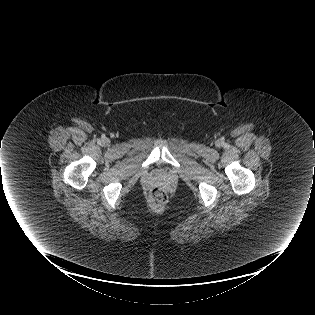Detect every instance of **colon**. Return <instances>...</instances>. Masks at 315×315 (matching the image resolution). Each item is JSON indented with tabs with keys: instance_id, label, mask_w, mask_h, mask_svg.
I'll return each instance as SVG.
<instances>
[{
	"instance_id": "1",
	"label": "colon",
	"mask_w": 315,
	"mask_h": 315,
	"mask_svg": "<svg viewBox=\"0 0 315 315\" xmlns=\"http://www.w3.org/2000/svg\"><path fill=\"white\" fill-rule=\"evenodd\" d=\"M150 199L153 204L160 206L167 200V192L160 186H155L150 190Z\"/></svg>"
}]
</instances>
